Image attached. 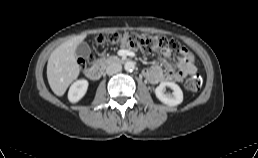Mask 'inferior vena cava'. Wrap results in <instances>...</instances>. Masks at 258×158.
<instances>
[{"label": "inferior vena cava", "instance_id": "602c4592", "mask_svg": "<svg viewBox=\"0 0 258 158\" xmlns=\"http://www.w3.org/2000/svg\"><path fill=\"white\" fill-rule=\"evenodd\" d=\"M121 69H122L121 64L118 63V62H114V63H111L110 65L107 66V68H106V73H107L108 75H113V74H115V73L120 72Z\"/></svg>", "mask_w": 258, "mask_h": 158}]
</instances>
